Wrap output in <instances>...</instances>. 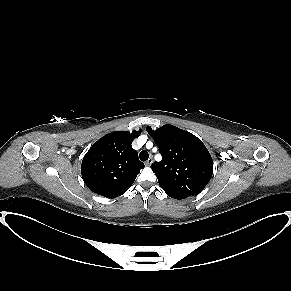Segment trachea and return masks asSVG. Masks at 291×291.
Here are the masks:
<instances>
[{
    "label": "trachea",
    "mask_w": 291,
    "mask_h": 291,
    "mask_svg": "<svg viewBox=\"0 0 291 291\" xmlns=\"http://www.w3.org/2000/svg\"><path fill=\"white\" fill-rule=\"evenodd\" d=\"M139 158H140L141 161L148 160V158H149L148 152L145 151V150L141 151L140 154H139Z\"/></svg>",
    "instance_id": "trachea-1"
}]
</instances>
